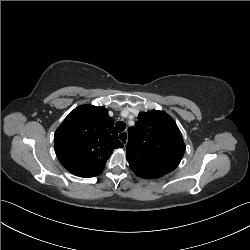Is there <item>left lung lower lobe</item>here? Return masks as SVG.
Masks as SVG:
<instances>
[{
    "label": "left lung lower lobe",
    "mask_w": 250,
    "mask_h": 250,
    "mask_svg": "<svg viewBox=\"0 0 250 250\" xmlns=\"http://www.w3.org/2000/svg\"><path fill=\"white\" fill-rule=\"evenodd\" d=\"M154 162L151 159H146L139 164V170H141V177L142 178H159L165 174L157 169L152 168Z\"/></svg>",
    "instance_id": "left-lung-lower-lobe-1"
}]
</instances>
